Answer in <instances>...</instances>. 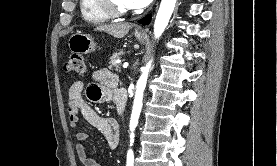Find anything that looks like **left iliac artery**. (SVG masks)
<instances>
[{"instance_id":"44dca946","label":"left iliac artery","mask_w":277,"mask_h":166,"mask_svg":"<svg viewBox=\"0 0 277 166\" xmlns=\"http://www.w3.org/2000/svg\"><path fill=\"white\" fill-rule=\"evenodd\" d=\"M126 166H134V155L132 152L127 154Z\"/></svg>"}]
</instances>
